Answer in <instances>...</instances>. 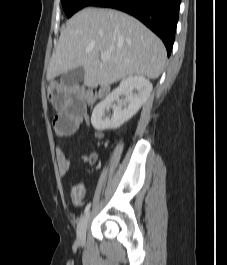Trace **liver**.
<instances>
[{
    "label": "liver",
    "instance_id": "obj_1",
    "mask_svg": "<svg viewBox=\"0 0 227 265\" xmlns=\"http://www.w3.org/2000/svg\"><path fill=\"white\" fill-rule=\"evenodd\" d=\"M102 52L110 58L100 60ZM165 61L164 44L140 21L116 10L86 8L62 28L46 78L82 67L84 85L97 88L134 75L157 79Z\"/></svg>",
    "mask_w": 227,
    "mask_h": 265
}]
</instances>
